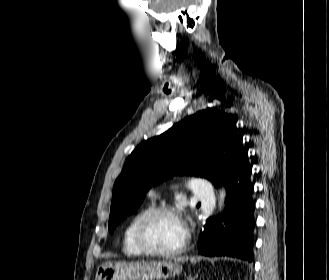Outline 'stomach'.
Returning a JSON list of instances; mask_svg holds the SVG:
<instances>
[{"label":"stomach","mask_w":329,"mask_h":280,"mask_svg":"<svg viewBox=\"0 0 329 280\" xmlns=\"http://www.w3.org/2000/svg\"><path fill=\"white\" fill-rule=\"evenodd\" d=\"M179 259L152 262H105L98 266L95 280H160L179 275Z\"/></svg>","instance_id":"1"}]
</instances>
